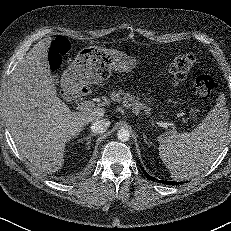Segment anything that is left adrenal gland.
Returning a JSON list of instances; mask_svg holds the SVG:
<instances>
[{"instance_id":"a2214340","label":"left adrenal gland","mask_w":231,"mask_h":231,"mask_svg":"<svg viewBox=\"0 0 231 231\" xmlns=\"http://www.w3.org/2000/svg\"><path fill=\"white\" fill-rule=\"evenodd\" d=\"M143 139H144V142L148 145H152V142H150V140L147 139L145 133L143 132Z\"/></svg>"}]
</instances>
